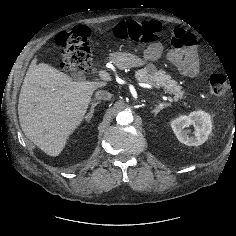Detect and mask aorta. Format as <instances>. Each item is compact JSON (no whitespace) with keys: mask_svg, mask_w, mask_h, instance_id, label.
I'll return each mask as SVG.
<instances>
[{"mask_svg":"<svg viewBox=\"0 0 236 236\" xmlns=\"http://www.w3.org/2000/svg\"><path fill=\"white\" fill-rule=\"evenodd\" d=\"M133 115L130 111H121L116 117V121L120 125H128L133 122Z\"/></svg>","mask_w":236,"mask_h":236,"instance_id":"762f6f07","label":"aorta"}]
</instances>
